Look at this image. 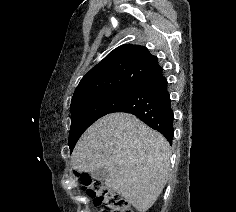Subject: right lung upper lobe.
Returning a JSON list of instances; mask_svg holds the SVG:
<instances>
[{
  "label": "right lung upper lobe",
  "mask_w": 236,
  "mask_h": 212,
  "mask_svg": "<svg viewBox=\"0 0 236 212\" xmlns=\"http://www.w3.org/2000/svg\"><path fill=\"white\" fill-rule=\"evenodd\" d=\"M159 67L156 56L151 55L147 48L121 45L82 78L72 101L117 89L134 88L143 77Z\"/></svg>",
  "instance_id": "obj_1"
}]
</instances>
